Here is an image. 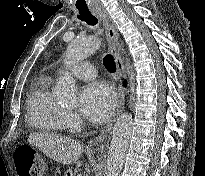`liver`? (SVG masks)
<instances>
[{
  "label": "liver",
  "instance_id": "1",
  "mask_svg": "<svg viewBox=\"0 0 205 176\" xmlns=\"http://www.w3.org/2000/svg\"><path fill=\"white\" fill-rule=\"evenodd\" d=\"M30 144L38 147L49 158L62 163L71 165L79 161L80 155L83 153V145L70 137H62L51 133H35L28 137Z\"/></svg>",
  "mask_w": 205,
  "mask_h": 176
}]
</instances>
